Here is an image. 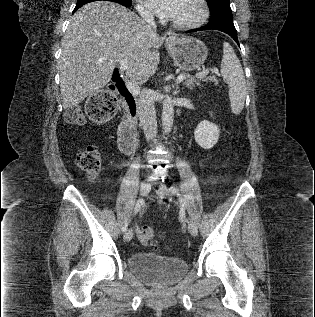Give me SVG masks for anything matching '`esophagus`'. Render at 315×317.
Segmentation results:
<instances>
[{
	"instance_id": "esophagus-1",
	"label": "esophagus",
	"mask_w": 315,
	"mask_h": 317,
	"mask_svg": "<svg viewBox=\"0 0 315 317\" xmlns=\"http://www.w3.org/2000/svg\"><path fill=\"white\" fill-rule=\"evenodd\" d=\"M173 37H174V33L171 32V31H169V32H167V33L165 34V38H166V39H171V38H173Z\"/></svg>"
}]
</instances>
